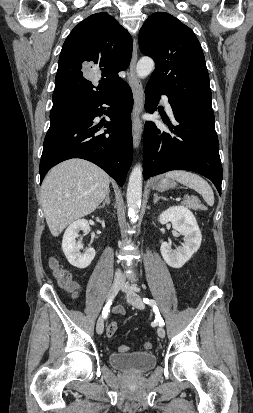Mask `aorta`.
I'll use <instances>...</instances> for the list:
<instances>
[{"label":"aorta","instance_id":"aorta-1","mask_svg":"<svg viewBox=\"0 0 253 413\" xmlns=\"http://www.w3.org/2000/svg\"><path fill=\"white\" fill-rule=\"evenodd\" d=\"M154 69V61L148 56L142 57L136 65V74L139 78L147 77ZM142 166L137 164L129 177L127 187V205L128 215L131 218V222L135 223L138 218V213L141 204L142 197Z\"/></svg>","mask_w":253,"mask_h":413}]
</instances>
